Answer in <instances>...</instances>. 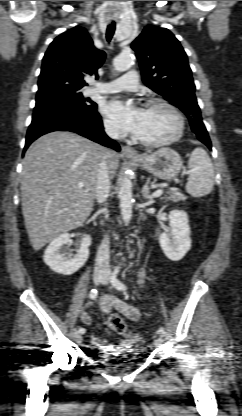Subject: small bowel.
<instances>
[{"label": "small bowel", "instance_id": "1", "mask_svg": "<svg viewBox=\"0 0 242 416\" xmlns=\"http://www.w3.org/2000/svg\"><path fill=\"white\" fill-rule=\"evenodd\" d=\"M100 307L106 314H110L113 310H116L130 320H137L140 317V312L134 306L127 304L114 295H102L100 298ZM79 318L84 324L89 325L92 323V317L86 309L80 310ZM90 343L99 351H108L112 347L104 339L98 336H92Z\"/></svg>", "mask_w": 242, "mask_h": 416}]
</instances>
